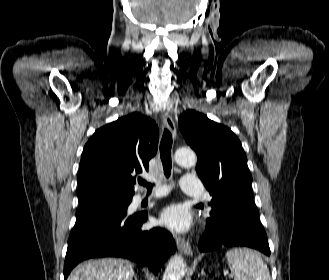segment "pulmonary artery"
Segmentation results:
<instances>
[{
  "label": "pulmonary artery",
  "instance_id": "e3ab8cb5",
  "mask_svg": "<svg viewBox=\"0 0 329 280\" xmlns=\"http://www.w3.org/2000/svg\"><path fill=\"white\" fill-rule=\"evenodd\" d=\"M181 189L188 197L199 198L202 193V184L196 175L186 174L181 180ZM162 194V191L157 190L149 198H157ZM142 198L143 196L139 197V199Z\"/></svg>",
  "mask_w": 329,
  "mask_h": 280
}]
</instances>
